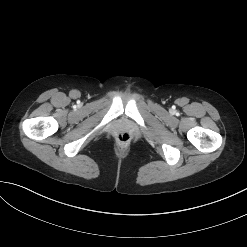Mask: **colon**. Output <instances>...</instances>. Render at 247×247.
<instances>
[{
  "instance_id": "colon-1",
  "label": "colon",
  "mask_w": 247,
  "mask_h": 247,
  "mask_svg": "<svg viewBox=\"0 0 247 247\" xmlns=\"http://www.w3.org/2000/svg\"><path fill=\"white\" fill-rule=\"evenodd\" d=\"M118 139L121 142H127L130 140V134L128 132H121L118 134Z\"/></svg>"
}]
</instances>
